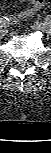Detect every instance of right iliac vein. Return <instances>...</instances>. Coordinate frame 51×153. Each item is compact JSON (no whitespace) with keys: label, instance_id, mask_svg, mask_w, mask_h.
Wrapping results in <instances>:
<instances>
[{"label":"right iliac vein","instance_id":"1","mask_svg":"<svg viewBox=\"0 0 51 153\" xmlns=\"http://www.w3.org/2000/svg\"><path fill=\"white\" fill-rule=\"evenodd\" d=\"M1 29H0V35L1 36H5L7 34V28L6 25L4 23H1Z\"/></svg>","mask_w":51,"mask_h":153}]
</instances>
